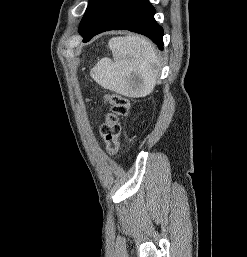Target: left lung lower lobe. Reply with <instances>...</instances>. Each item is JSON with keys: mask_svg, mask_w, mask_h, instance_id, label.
I'll return each instance as SVG.
<instances>
[{"mask_svg": "<svg viewBox=\"0 0 247 257\" xmlns=\"http://www.w3.org/2000/svg\"><path fill=\"white\" fill-rule=\"evenodd\" d=\"M154 14L148 0H97L80 34L88 42L101 32L127 29L149 37L162 50L163 29Z\"/></svg>", "mask_w": 247, "mask_h": 257, "instance_id": "1", "label": "left lung lower lobe"}]
</instances>
